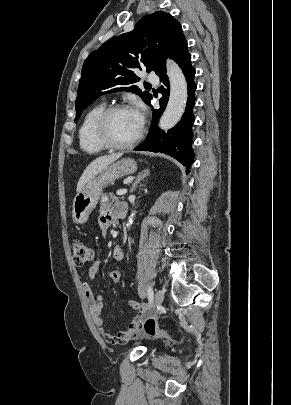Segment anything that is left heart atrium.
Instances as JSON below:
<instances>
[{"label":"left heart atrium","instance_id":"obj_1","mask_svg":"<svg viewBox=\"0 0 291 405\" xmlns=\"http://www.w3.org/2000/svg\"><path fill=\"white\" fill-rule=\"evenodd\" d=\"M135 113L136 119L139 123L140 126H142L143 121H144V116H143V110L140 106H137L136 108L132 109Z\"/></svg>","mask_w":291,"mask_h":405}]
</instances>
